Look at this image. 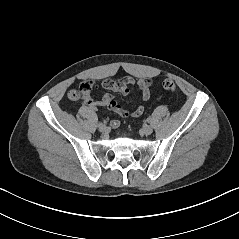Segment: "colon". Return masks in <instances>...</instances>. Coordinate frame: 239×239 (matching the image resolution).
Listing matches in <instances>:
<instances>
[{"instance_id":"1","label":"colon","mask_w":239,"mask_h":239,"mask_svg":"<svg viewBox=\"0 0 239 239\" xmlns=\"http://www.w3.org/2000/svg\"><path fill=\"white\" fill-rule=\"evenodd\" d=\"M162 87L169 92H175L177 89V86L175 82L171 79H166L162 82ZM93 90L92 84L90 82H86L80 86V89L73 90L69 93L68 98L71 101L78 102L80 100H85Z\"/></svg>"}]
</instances>
